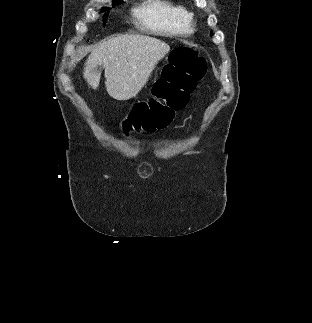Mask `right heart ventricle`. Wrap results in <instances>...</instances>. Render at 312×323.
Listing matches in <instances>:
<instances>
[{"label":"right heart ventricle","instance_id":"e07e8e85","mask_svg":"<svg viewBox=\"0 0 312 323\" xmlns=\"http://www.w3.org/2000/svg\"><path fill=\"white\" fill-rule=\"evenodd\" d=\"M128 20H139L144 29H156L157 33H196L198 20L185 1L139 0L128 9Z\"/></svg>","mask_w":312,"mask_h":323}]
</instances>
